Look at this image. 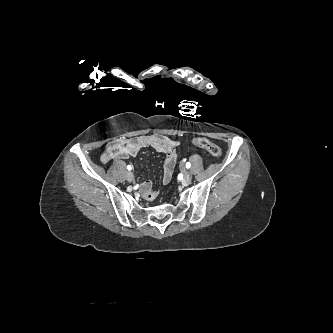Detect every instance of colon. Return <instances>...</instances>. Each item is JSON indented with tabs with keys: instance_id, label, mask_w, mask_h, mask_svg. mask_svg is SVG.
Returning <instances> with one entry per match:
<instances>
[{
	"instance_id": "5ec220e1",
	"label": "colon",
	"mask_w": 333,
	"mask_h": 333,
	"mask_svg": "<svg viewBox=\"0 0 333 333\" xmlns=\"http://www.w3.org/2000/svg\"><path fill=\"white\" fill-rule=\"evenodd\" d=\"M192 143L195 146H198L202 149H204L205 151H207L211 156L213 157H220L221 156V148L210 142L209 140L205 139V138H194L192 140Z\"/></svg>"
}]
</instances>
